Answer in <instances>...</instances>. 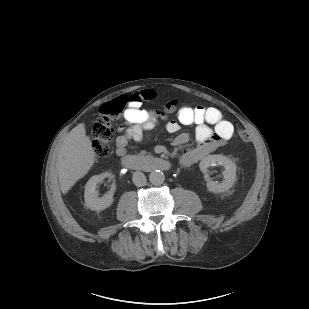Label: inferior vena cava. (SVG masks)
I'll use <instances>...</instances> for the list:
<instances>
[{
	"label": "inferior vena cava",
	"instance_id": "602c4592",
	"mask_svg": "<svg viewBox=\"0 0 309 309\" xmlns=\"http://www.w3.org/2000/svg\"><path fill=\"white\" fill-rule=\"evenodd\" d=\"M132 180H133V183L138 187H142L146 185V176L143 172H140V171L134 172Z\"/></svg>",
	"mask_w": 309,
	"mask_h": 309
}]
</instances>
